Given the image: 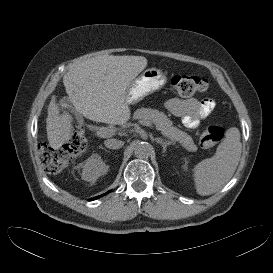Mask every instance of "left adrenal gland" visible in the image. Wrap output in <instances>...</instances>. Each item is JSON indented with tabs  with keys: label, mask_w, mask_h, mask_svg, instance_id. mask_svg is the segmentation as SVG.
<instances>
[{
	"label": "left adrenal gland",
	"mask_w": 273,
	"mask_h": 273,
	"mask_svg": "<svg viewBox=\"0 0 273 273\" xmlns=\"http://www.w3.org/2000/svg\"><path fill=\"white\" fill-rule=\"evenodd\" d=\"M155 140H156L157 143H159V144L162 146V148H163V153L166 152L167 146L172 144L171 141L163 140V139L160 138V137L155 138Z\"/></svg>",
	"instance_id": "obj_1"
}]
</instances>
